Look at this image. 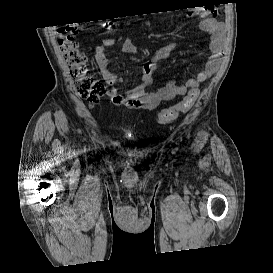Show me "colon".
Segmentation results:
<instances>
[{
  "label": "colon",
  "instance_id": "1",
  "mask_svg": "<svg viewBox=\"0 0 273 273\" xmlns=\"http://www.w3.org/2000/svg\"><path fill=\"white\" fill-rule=\"evenodd\" d=\"M79 32V26L68 25L58 34V47L62 55L69 76L73 80L77 95L88 102L96 105L106 92V86L102 80L95 77L88 66L87 55L80 50L75 40ZM197 91H190L179 103L165 108L158 113L157 120L160 124H168L179 115L186 113L194 104Z\"/></svg>",
  "mask_w": 273,
  "mask_h": 273
}]
</instances>
